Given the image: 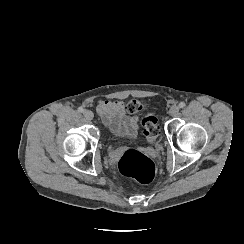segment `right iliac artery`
Segmentation results:
<instances>
[{"mask_svg": "<svg viewBox=\"0 0 244 244\" xmlns=\"http://www.w3.org/2000/svg\"><path fill=\"white\" fill-rule=\"evenodd\" d=\"M84 111V109L82 107L78 108V112L82 113Z\"/></svg>", "mask_w": 244, "mask_h": 244, "instance_id": "1", "label": "right iliac artery"}]
</instances>
